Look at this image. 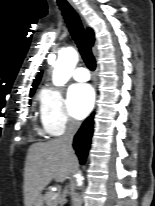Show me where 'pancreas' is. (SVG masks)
<instances>
[{"label":"pancreas","instance_id":"1","mask_svg":"<svg viewBox=\"0 0 155 206\" xmlns=\"http://www.w3.org/2000/svg\"><path fill=\"white\" fill-rule=\"evenodd\" d=\"M44 200L46 202V206H57L59 202V195L49 190L46 192Z\"/></svg>","mask_w":155,"mask_h":206}]
</instances>
